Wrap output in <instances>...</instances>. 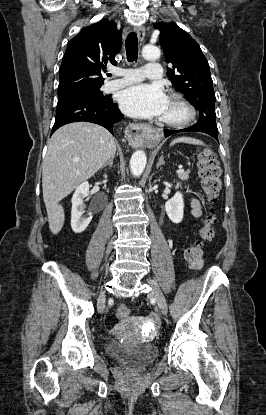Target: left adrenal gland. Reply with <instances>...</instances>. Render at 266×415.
<instances>
[{"mask_svg": "<svg viewBox=\"0 0 266 415\" xmlns=\"http://www.w3.org/2000/svg\"><path fill=\"white\" fill-rule=\"evenodd\" d=\"M165 164V162H164V157L163 156H161L160 157V159H159V162L157 163V169L161 166V165H164Z\"/></svg>", "mask_w": 266, "mask_h": 415, "instance_id": "obj_1", "label": "left adrenal gland"}]
</instances>
